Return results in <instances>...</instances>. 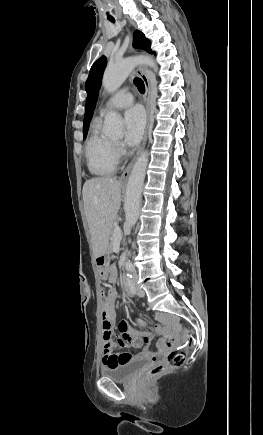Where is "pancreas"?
<instances>
[{"label":"pancreas","mask_w":263,"mask_h":435,"mask_svg":"<svg viewBox=\"0 0 263 435\" xmlns=\"http://www.w3.org/2000/svg\"><path fill=\"white\" fill-rule=\"evenodd\" d=\"M113 241H114V237H113V230H112V235H111V244L113 243ZM111 244H110V249H111V247H112Z\"/></svg>","instance_id":"cf45deb5"}]
</instances>
